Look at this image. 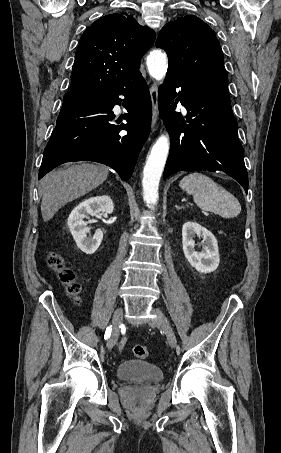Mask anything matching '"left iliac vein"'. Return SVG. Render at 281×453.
Returning a JSON list of instances; mask_svg holds the SVG:
<instances>
[{"label": "left iliac vein", "mask_w": 281, "mask_h": 453, "mask_svg": "<svg viewBox=\"0 0 281 453\" xmlns=\"http://www.w3.org/2000/svg\"><path fill=\"white\" fill-rule=\"evenodd\" d=\"M153 314H157V317L154 318V320H151L150 321V324L151 325H156V328H159L160 331H164L165 330V336L167 337V342L170 343V345H172L173 347L175 345H177L176 343V336L174 334V332L172 331L171 327L169 326V322L167 321V318L164 316L163 313L160 312V310H154V312H152Z\"/></svg>", "instance_id": "left-iliac-vein-1"}]
</instances>
